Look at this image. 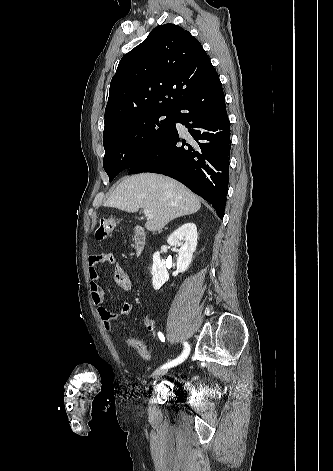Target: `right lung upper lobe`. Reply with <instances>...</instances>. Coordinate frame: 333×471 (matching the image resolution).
I'll list each match as a JSON object with an SVG mask.
<instances>
[{"instance_id": "1", "label": "right lung upper lobe", "mask_w": 333, "mask_h": 471, "mask_svg": "<svg viewBox=\"0 0 333 471\" xmlns=\"http://www.w3.org/2000/svg\"><path fill=\"white\" fill-rule=\"evenodd\" d=\"M217 76L195 37L178 25H161L120 60L110 84L104 130L139 112H175Z\"/></svg>"}]
</instances>
